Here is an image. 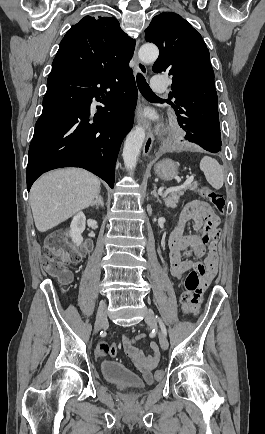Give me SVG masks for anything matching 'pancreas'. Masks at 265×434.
Instances as JSON below:
<instances>
[{"instance_id":"cf45deb5","label":"pancreas","mask_w":265,"mask_h":434,"mask_svg":"<svg viewBox=\"0 0 265 434\" xmlns=\"http://www.w3.org/2000/svg\"><path fill=\"white\" fill-rule=\"evenodd\" d=\"M198 188V184H188L186 188H181L178 192H171L170 196L164 198L165 206L167 208H176V204H178V200L180 196H183L185 190H196Z\"/></svg>"}]
</instances>
